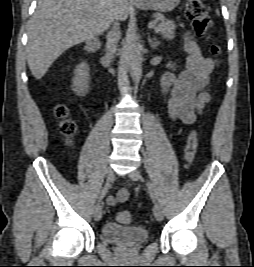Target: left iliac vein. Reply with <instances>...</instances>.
Returning <instances> with one entry per match:
<instances>
[{
    "label": "left iliac vein",
    "mask_w": 254,
    "mask_h": 267,
    "mask_svg": "<svg viewBox=\"0 0 254 267\" xmlns=\"http://www.w3.org/2000/svg\"><path fill=\"white\" fill-rule=\"evenodd\" d=\"M128 175H129L130 179L133 181L141 180V175L137 170L131 171ZM153 212H154V216H155L156 220H158V221L163 220V210H162V208L158 202H156L154 204Z\"/></svg>",
    "instance_id": "obj_1"
}]
</instances>
